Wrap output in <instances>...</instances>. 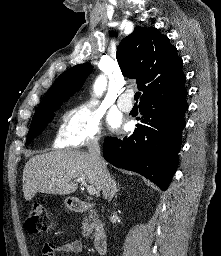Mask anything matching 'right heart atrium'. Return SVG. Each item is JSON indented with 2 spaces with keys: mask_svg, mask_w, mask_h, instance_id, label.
Wrapping results in <instances>:
<instances>
[{
  "mask_svg": "<svg viewBox=\"0 0 221 256\" xmlns=\"http://www.w3.org/2000/svg\"><path fill=\"white\" fill-rule=\"evenodd\" d=\"M102 136V114L91 102L69 108L63 116L56 142L65 147L97 143Z\"/></svg>",
  "mask_w": 221,
  "mask_h": 256,
  "instance_id": "right-heart-atrium-1",
  "label": "right heart atrium"
}]
</instances>
